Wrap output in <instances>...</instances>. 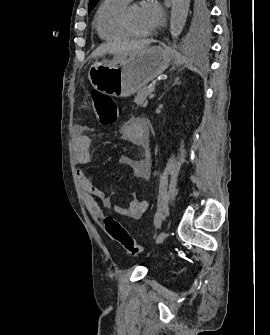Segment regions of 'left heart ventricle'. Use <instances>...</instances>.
I'll list each match as a JSON object with an SVG mask.
<instances>
[{
    "instance_id": "1",
    "label": "left heart ventricle",
    "mask_w": 270,
    "mask_h": 335,
    "mask_svg": "<svg viewBox=\"0 0 270 335\" xmlns=\"http://www.w3.org/2000/svg\"><path fill=\"white\" fill-rule=\"evenodd\" d=\"M128 23L131 29L137 33L142 34L144 32L142 17H141V8L137 5H132L128 13Z\"/></svg>"
}]
</instances>
